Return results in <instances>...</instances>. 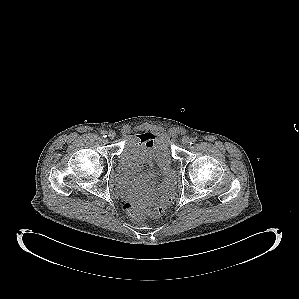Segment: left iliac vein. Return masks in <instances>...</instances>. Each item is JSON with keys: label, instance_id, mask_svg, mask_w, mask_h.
Here are the masks:
<instances>
[{"label": "left iliac vein", "instance_id": "4c4485c4", "mask_svg": "<svg viewBox=\"0 0 299 299\" xmlns=\"http://www.w3.org/2000/svg\"><path fill=\"white\" fill-rule=\"evenodd\" d=\"M189 143H190V139H189V137L184 136V137L182 138V144H183L184 146H188Z\"/></svg>", "mask_w": 299, "mask_h": 299}]
</instances>
